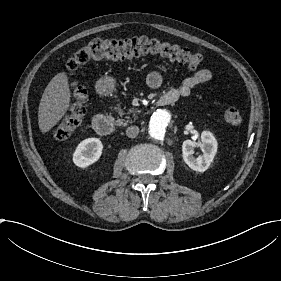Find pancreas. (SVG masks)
Wrapping results in <instances>:
<instances>
[{"label": "pancreas", "mask_w": 281, "mask_h": 281, "mask_svg": "<svg viewBox=\"0 0 281 281\" xmlns=\"http://www.w3.org/2000/svg\"><path fill=\"white\" fill-rule=\"evenodd\" d=\"M129 113H134V109H130V110H129ZM120 114H124L123 110H120ZM134 118H137V116L134 115ZM127 119H128L127 121L121 120V124H122V125H127L128 123L131 122V120H129V117H127Z\"/></svg>", "instance_id": "pancreas-1"}]
</instances>
